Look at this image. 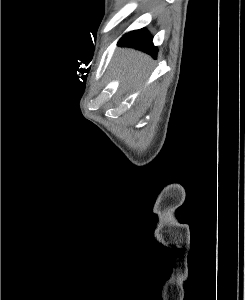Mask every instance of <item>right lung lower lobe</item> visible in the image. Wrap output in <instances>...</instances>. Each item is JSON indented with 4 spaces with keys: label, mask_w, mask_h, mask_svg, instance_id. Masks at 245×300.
<instances>
[{
    "label": "right lung lower lobe",
    "mask_w": 245,
    "mask_h": 300,
    "mask_svg": "<svg viewBox=\"0 0 245 300\" xmlns=\"http://www.w3.org/2000/svg\"><path fill=\"white\" fill-rule=\"evenodd\" d=\"M119 45L133 47L156 57L157 47L152 43V36L144 28L132 31L122 37Z\"/></svg>",
    "instance_id": "98d812e1"
}]
</instances>
